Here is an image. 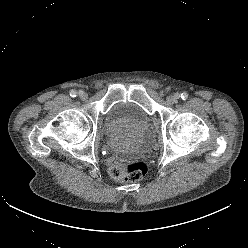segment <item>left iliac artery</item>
<instances>
[{
    "mask_svg": "<svg viewBox=\"0 0 248 248\" xmlns=\"http://www.w3.org/2000/svg\"><path fill=\"white\" fill-rule=\"evenodd\" d=\"M180 97L183 99V100H186L188 98V94L186 92H183L181 93Z\"/></svg>",
    "mask_w": 248,
    "mask_h": 248,
    "instance_id": "obj_1",
    "label": "left iliac artery"
}]
</instances>
